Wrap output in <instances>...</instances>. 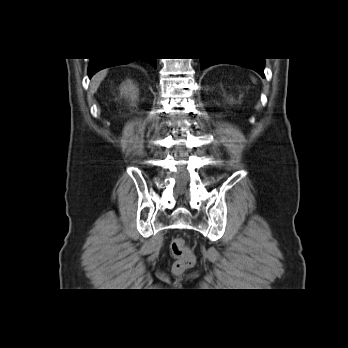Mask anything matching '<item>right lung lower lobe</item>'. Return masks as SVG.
<instances>
[{"label": "right lung lower lobe", "instance_id": "98d812e1", "mask_svg": "<svg viewBox=\"0 0 348 348\" xmlns=\"http://www.w3.org/2000/svg\"><path fill=\"white\" fill-rule=\"evenodd\" d=\"M132 61L133 60H129V59H90V63L88 66L89 78H91L94 73H96L97 71H99L103 68L115 66V65H119V64H127V63H130ZM146 61L151 66L156 68V59L155 58H149V59H146Z\"/></svg>", "mask_w": 348, "mask_h": 348}]
</instances>
